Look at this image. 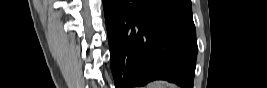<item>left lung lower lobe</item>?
<instances>
[{
  "label": "left lung lower lobe",
  "instance_id": "0a47b994",
  "mask_svg": "<svg viewBox=\"0 0 267 88\" xmlns=\"http://www.w3.org/2000/svg\"><path fill=\"white\" fill-rule=\"evenodd\" d=\"M116 88L165 79L193 88L197 43L191 3L103 0Z\"/></svg>",
  "mask_w": 267,
  "mask_h": 88
}]
</instances>
